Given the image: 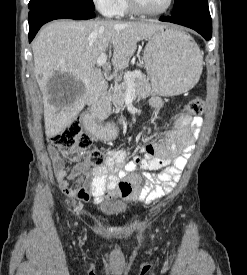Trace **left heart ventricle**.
<instances>
[{"label":"left heart ventricle","instance_id":"obj_1","mask_svg":"<svg viewBox=\"0 0 247 275\" xmlns=\"http://www.w3.org/2000/svg\"><path fill=\"white\" fill-rule=\"evenodd\" d=\"M169 0H140L141 4L148 10L163 9Z\"/></svg>","mask_w":247,"mask_h":275}]
</instances>
